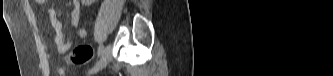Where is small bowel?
Listing matches in <instances>:
<instances>
[{
  "instance_id": "c3829d8e",
  "label": "small bowel",
  "mask_w": 333,
  "mask_h": 76,
  "mask_svg": "<svg viewBox=\"0 0 333 76\" xmlns=\"http://www.w3.org/2000/svg\"><path fill=\"white\" fill-rule=\"evenodd\" d=\"M72 5H73V9L71 12L70 27L72 29L76 30V37L71 38V39H65L63 30H62V24L56 16L55 9L52 7L47 9V12L50 17L51 25L54 29L55 47L59 53L66 52L69 48H71L76 43V41L78 39H84L87 34L85 29L79 28L81 1L73 0Z\"/></svg>"
}]
</instances>
